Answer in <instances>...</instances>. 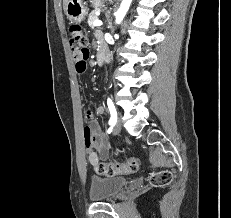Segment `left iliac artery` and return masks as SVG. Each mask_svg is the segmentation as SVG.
<instances>
[{"label":"left iliac artery","mask_w":231,"mask_h":218,"mask_svg":"<svg viewBox=\"0 0 231 218\" xmlns=\"http://www.w3.org/2000/svg\"><path fill=\"white\" fill-rule=\"evenodd\" d=\"M107 104H108V108L111 114L109 125H115L117 122V112H116L115 106L110 98H108Z\"/></svg>","instance_id":"1"}]
</instances>
